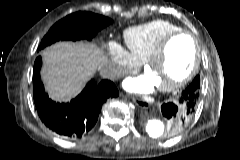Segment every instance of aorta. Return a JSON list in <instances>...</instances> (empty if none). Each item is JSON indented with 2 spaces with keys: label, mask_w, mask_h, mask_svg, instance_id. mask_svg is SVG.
Masks as SVG:
<instances>
[{
  "label": "aorta",
  "mask_w": 240,
  "mask_h": 160,
  "mask_svg": "<svg viewBox=\"0 0 240 160\" xmlns=\"http://www.w3.org/2000/svg\"><path fill=\"white\" fill-rule=\"evenodd\" d=\"M166 123L158 118L147 120L145 129L152 138H160L166 132Z\"/></svg>",
  "instance_id": "aorta-1"
}]
</instances>
